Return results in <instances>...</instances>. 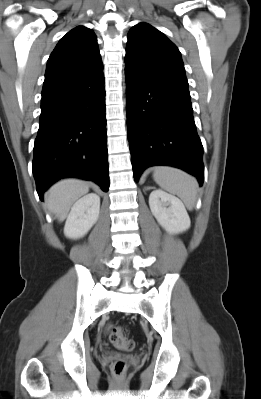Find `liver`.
Listing matches in <instances>:
<instances>
[{
  "instance_id": "6515ba94",
  "label": "liver",
  "mask_w": 261,
  "mask_h": 399,
  "mask_svg": "<svg viewBox=\"0 0 261 399\" xmlns=\"http://www.w3.org/2000/svg\"><path fill=\"white\" fill-rule=\"evenodd\" d=\"M89 184L78 179H65L54 184L45 196L48 209L63 221L71 206L88 193Z\"/></svg>"
}]
</instances>
